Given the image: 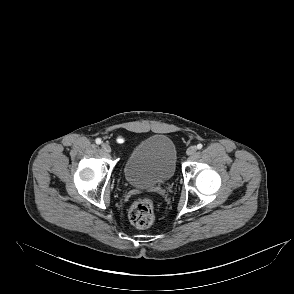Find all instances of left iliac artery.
<instances>
[{
  "label": "left iliac artery",
  "mask_w": 294,
  "mask_h": 294,
  "mask_svg": "<svg viewBox=\"0 0 294 294\" xmlns=\"http://www.w3.org/2000/svg\"><path fill=\"white\" fill-rule=\"evenodd\" d=\"M203 147V145L200 143L197 145V149H201Z\"/></svg>",
  "instance_id": "left-iliac-artery-1"
}]
</instances>
